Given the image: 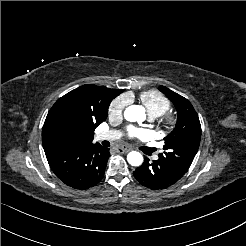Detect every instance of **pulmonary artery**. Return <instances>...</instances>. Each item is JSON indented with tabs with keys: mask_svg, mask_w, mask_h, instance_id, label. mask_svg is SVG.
<instances>
[{
	"mask_svg": "<svg viewBox=\"0 0 246 246\" xmlns=\"http://www.w3.org/2000/svg\"><path fill=\"white\" fill-rule=\"evenodd\" d=\"M120 134L121 133L117 130L100 132L97 135V140H115V139L119 138Z\"/></svg>",
	"mask_w": 246,
	"mask_h": 246,
	"instance_id": "pulmonary-artery-1",
	"label": "pulmonary artery"
}]
</instances>
